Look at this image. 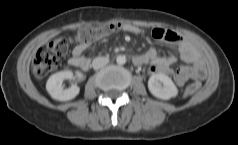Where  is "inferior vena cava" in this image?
<instances>
[{
	"label": "inferior vena cava",
	"mask_w": 238,
	"mask_h": 145,
	"mask_svg": "<svg viewBox=\"0 0 238 145\" xmlns=\"http://www.w3.org/2000/svg\"><path fill=\"white\" fill-rule=\"evenodd\" d=\"M108 63H109V58L96 57L92 62V66L95 70H98V69L104 67L105 65H107Z\"/></svg>",
	"instance_id": "inferior-vena-cava-1"
}]
</instances>
